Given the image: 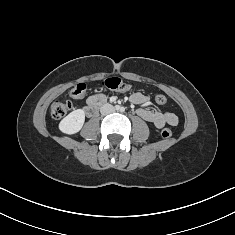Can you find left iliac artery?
<instances>
[{"instance_id":"1","label":"left iliac artery","mask_w":235,"mask_h":235,"mask_svg":"<svg viewBox=\"0 0 235 235\" xmlns=\"http://www.w3.org/2000/svg\"><path fill=\"white\" fill-rule=\"evenodd\" d=\"M124 110H125V109L122 107V108H121V111L123 112Z\"/></svg>"}]
</instances>
